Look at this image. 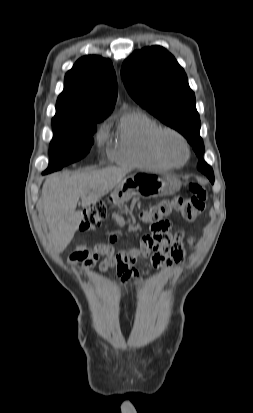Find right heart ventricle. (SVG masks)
<instances>
[{
  "mask_svg": "<svg viewBox=\"0 0 253 413\" xmlns=\"http://www.w3.org/2000/svg\"><path fill=\"white\" fill-rule=\"evenodd\" d=\"M159 125L147 114L131 110L125 112L118 123L116 145L110 156L120 164L134 167L169 169L155 148V135Z\"/></svg>",
  "mask_w": 253,
  "mask_h": 413,
  "instance_id": "1",
  "label": "right heart ventricle"
}]
</instances>
